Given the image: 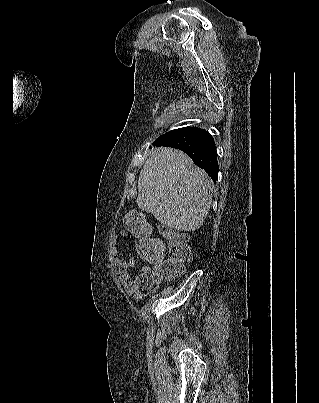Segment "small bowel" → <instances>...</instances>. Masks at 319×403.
<instances>
[{"instance_id":"obj_1","label":"small bowel","mask_w":319,"mask_h":403,"mask_svg":"<svg viewBox=\"0 0 319 403\" xmlns=\"http://www.w3.org/2000/svg\"><path fill=\"white\" fill-rule=\"evenodd\" d=\"M119 237L121 239H126L128 237V232L126 230H121L119 232ZM152 238V237H151ZM153 240H158L155 238H152ZM159 241V240H158ZM143 260L147 261L143 256ZM135 259L134 258H129V259H121L119 256H114L112 260V270L119 276V278L125 283L127 290L131 293L134 294L137 291L136 288V282H137V277L136 278H131L129 274V270L135 266ZM150 267L148 265L143 266L142 271L143 273L148 271Z\"/></svg>"}]
</instances>
